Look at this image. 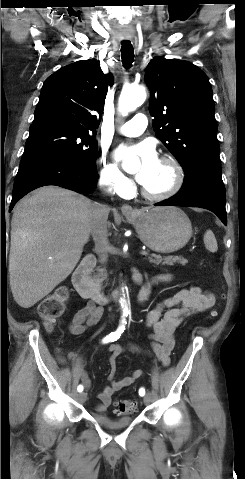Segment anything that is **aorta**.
<instances>
[{
	"mask_svg": "<svg viewBox=\"0 0 245 479\" xmlns=\"http://www.w3.org/2000/svg\"><path fill=\"white\" fill-rule=\"evenodd\" d=\"M146 99V91L141 86H129L123 88L119 98V111L123 115H127L129 112L134 111L137 107L141 106ZM123 169L128 173H135L140 167L139 160L136 158H127L123 162ZM123 312L128 313V307L125 299L120 300Z\"/></svg>",
	"mask_w": 245,
	"mask_h": 479,
	"instance_id": "obj_1",
	"label": "aorta"
}]
</instances>
